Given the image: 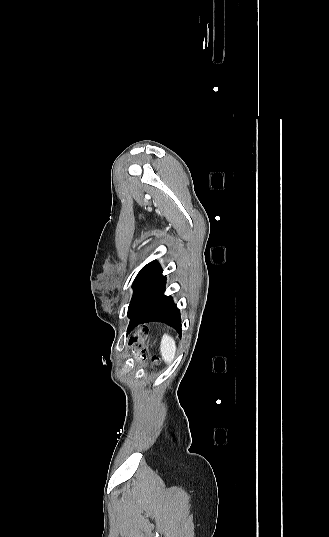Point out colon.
I'll use <instances>...</instances> for the list:
<instances>
[{"label":"colon","mask_w":329,"mask_h":537,"mask_svg":"<svg viewBox=\"0 0 329 537\" xmlns=\"http://www.w3.org/2000/svg\"><path fill=\"white\" fill-rule=\"evenodd\" d=\"M144 336V332H139L129 342V346L131 348V357L137 362H142L144 360ZM157 361L158 359L156 357L153 358L154 363H156Z\"/></svg>","instance_id":"obj_1"}]
</instances>
